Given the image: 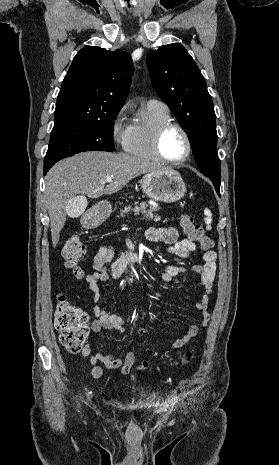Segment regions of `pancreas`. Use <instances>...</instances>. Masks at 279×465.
Returning a JSON list of instances; mask_svg holds the SVG:
<instances>
[{
  "label": "pancreas",
  "mask_w": 279,
  "mask_h": 465,
  "mask_svg": "<svg viewBox=\"0 0 279 465\" xmlns=\"http://www.w3.org/2000/svg\"><path fill=\"white\" fill-rule=\"evenodd\" d=\"M135 207L131 208L125 207L123 210H121L120 216H124V214H128L129 212H134L135 215L142 214L144 216L145 220H154L155 222L160 221V217L154 212L157 210L155 207H150L149 209L147 208L148 206L145 203H141L140 206H137V202L135 203ZM119 217V216H118Z\"/></svg>",
  "instance_id": "cf45deb5"
}]
</instances>
